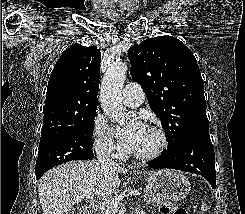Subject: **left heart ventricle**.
<instances>
[{"label": "left heart ventricle", "instance_id": "obj_1", "mask_svg": "<svg viewBox=\"0 0 245 214\" xmlns=\"http://www.w3.org/2000/svg\"><path fill=\"white\" fill-rule=\"evenodd\" d=\"M159 143L158 136L148 128L145 129L134 147L131 149L133 153H147L157 147Z\"/></svg>", "mask_w": 245, "mask_h": 214}]
</instances>
